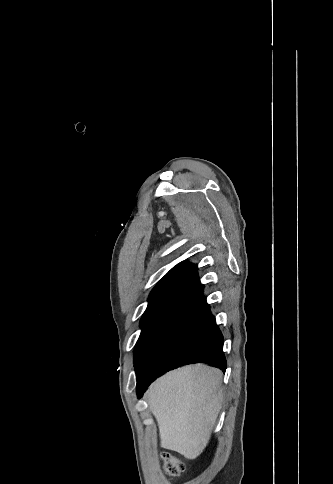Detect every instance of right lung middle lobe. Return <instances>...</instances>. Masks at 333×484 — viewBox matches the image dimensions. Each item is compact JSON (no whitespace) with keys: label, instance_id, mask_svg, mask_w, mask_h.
<instances>
[{"label":"right lung middle lobe","instance_id":"obj_1","mask_svg":"<svg viewBox=\"0 0 333 484\" xmlns=\"http://www.w3.org/2000/svg\"><path fill=\"white\" fill-rule=\"evenodd\" d=\"M157 305L158 304H149L146 311L144 312V314L141 318L140 326L142 328V331H141L140 337H139V339L136 343L135 351H134L135 368H136L138 362L140 361V359L142 357V351H143V346H144V342H145V338H146L147 328H148L149 322L151 320V317H152Z\"/></svg>","mask_w":333,"mask_h":484}]
</instances>
